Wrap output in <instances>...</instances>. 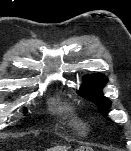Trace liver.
I'll return each instance as SVG.
<instances>
[{
  "label": "liver",
  "mask_w": 131,
  "mask_h": 151,
  "mask_svg": "<svg viewBox=\"0 0 131 151\" xmlns=\"http://www.w3.org/2000/svg\"><path fill=\"white\" fill-rule=\"evenodd\" d=\"M68 148L66 147H56V148H52L51 151H67Z\"/></svg>",
  "instance_id": "6515ba94"
}]
</instances>
